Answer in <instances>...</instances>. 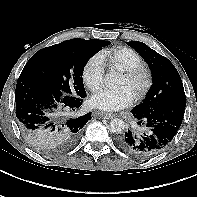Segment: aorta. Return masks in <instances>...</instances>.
<instances>
[{"instance_id": "762f6f07", "label": "aorta", "mask_w": 197, "mask_h": 197, "mask_svg": "<svg viewBox=\"0 0 197 197\" xmlns=\"http://www.w3.org/2000/svg\"><path fill=\"white\" fill-rule=\"evenodd\" d=\"M108 81L115 83L118 82L120 80V75L116 72H111L108 77H107ZM125 129V123L122 119H112L110 122V130L113 133L116 134H121Z\"/></svg>"}]
</instances>
